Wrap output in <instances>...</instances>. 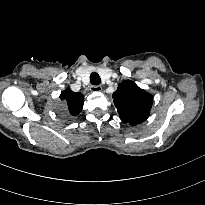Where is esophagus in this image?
<instances>
[{
    "mask_svg": "<svg viewBox=\"0 0 205 205\" xmlns=\"http://www.w3.org/2000/svg\"><path fill=\"white\" fill-rule=\"evenodd\" d=\"M90 91L93 92V93H98V92H101L102 91V88L101 86H91L90 88Z\"/></svg>",
    "mask_w": 205,
    "mask_h": 205,
    "instance_id": "34e87169",
    "label": "esophagus"
}]
</instances>
